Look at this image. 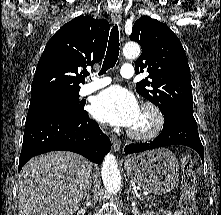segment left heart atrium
<instances>
[{"label":"left heart atrium","instance_id":"1","mask_svg":"<svg viewBox=\"0 0 221 215\" xmlns=\"http://www.w3.org/2000/svg\"><path fill=\"white\" fill-rule=\"evenodd\" d=\"M91 112L102 122L131 127L139 115L140 108L132 93L119 86H112L97 95Z\"/></svg>","mask_w":221,"mask_h":215}]
</instances>
